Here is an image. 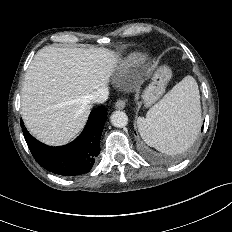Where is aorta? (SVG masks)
I'll use <instances>...</instances> for the list:
<instances>
[{
    "label": "aorta",
    "mask_w": 232,
    "mask_h": 232,
    "mask_svg": "<svg viewBox=\"0 0 232 232\" xmlns=\"http://www.w3.org/2000/svg\"><path fill=\"white\" fill-rule=\"evenodd\" d=\"M110 119L112 125L117 128H122L128 124V116L123 111H114Z\"/></svg>",
    "instance_id": "obj_1"
}]
</instances>
